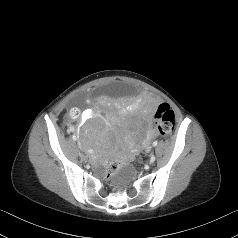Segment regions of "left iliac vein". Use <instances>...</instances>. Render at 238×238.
<instances>
[{"label":"left iliac vein","instance_id":"obj_1","mask_svg":"<svg viewBox=\"0 0 238 238\" xmlns=\"http://www.w3.org/2000/svg\"><path fill=\"white\" fill-rule=\"evenodd\" d=\"M154 161H155V156L152 155L149 162H150V164H152V163H154Z\"/></svg>","mask_w":238,"mask_h":238}]
</instances>
